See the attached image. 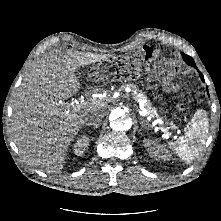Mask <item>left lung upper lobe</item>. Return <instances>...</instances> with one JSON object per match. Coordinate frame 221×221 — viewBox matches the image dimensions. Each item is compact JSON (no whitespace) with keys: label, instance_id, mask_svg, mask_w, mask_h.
Returning <instances> with one entry per match:
<instances>
[{"label":"left lung upper lobe","instance_id":"1","mask_svg":"<svg viewBox=\"0 0 221 221\" xmlns=\"http://www.w3.org/2000/svg\"><path fill=\"white\" fill-rule=\"evenodd\" d=\"M183 59H184V61H185L188 65H190V66H194V65H195L194 60H193L190 56L184 54V55H183Z\"/></svg>","mask_w":221,"mask_h":221}]
</instances>
